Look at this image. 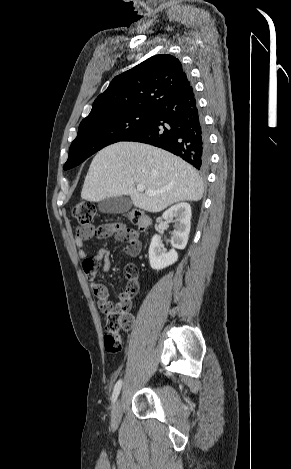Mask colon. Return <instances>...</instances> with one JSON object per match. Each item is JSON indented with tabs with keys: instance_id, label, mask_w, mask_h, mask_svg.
Returning <instances> with one entry per match:
<instances>
[{
	"instance_id": "5ec220e1",
	"label": "colon",
	"mask_w": 291,
	"mask_h": 469,
	"mask_svg": "<svg viewBox=\"0 0 291 469\" xmlns=\"http://www.w3.org/2000/svg\"><path fill=\"white\" fill-rule=\"evenodd\" d=\"M96 207L94 203L87 200L77 202L73 209V217L78 222V231L83 235H91L102 238L106 235L107 230L99 226L94 228L92 225ZM128 220L140 229L148 227L149 217L140 209H132L127 214ZM98 264L93 262L87 263V268L97 270ZM127 278V288L123 295L113 308L106 311L105 328L107 334L104 336L105 350L112 354H117L122 350V340L119 334L121 329L129 330L133 326V316L130 313L132 307V299L138 290V268L133 264H128L125 268Z\"/></svg>"
}]
</instances>
